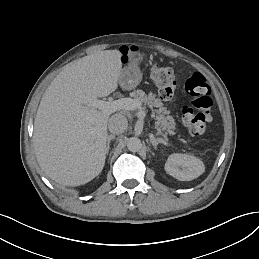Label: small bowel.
Instances as JSON below:
<instances>
[{"mask_svg":"<svg viewBox=\"0 0 259 259\" xmlns=\"http://www.w3.org/2000/svg\"><path fill=\"white\" fill-rule=\"evenodd\" d=\"M128 56H129V50H128V49H126L125 51H122V57H123V59H127Z\"/></svg>","mask_w":259,"mask_h":259,"instance_id":"small-bowel-1","label":"small bowel"}]
</instances>
